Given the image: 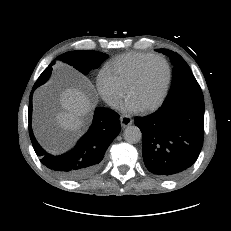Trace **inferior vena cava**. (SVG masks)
I'll use <instances>...</instances> for the list:
<instances>
[{"label":"inferior vena cava","instance_id":"1","mask_svg":"<svg viewBox=\"0 0 231 231\" xmlns=\"http://www.w3.org/2000/svg\"><path fill=\"white\" fill-rule=\"evenodd\" d=\"M104 101L111 107L115 108L118 106V102L113 97H106Z\"/></svg>","mask_w":231,"mask_h":231}]
</instances>
